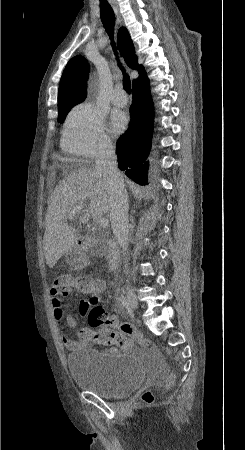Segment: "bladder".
I'll list each match as a JSON object with an SVG mask.
<instances>
[{
  "label": "bladder",
  "mask_w": 245,
  "mask_h": 450,
  "mask_svg": "<svg viewBox=\"0 0 245 450\" xmlns=\"http://www.w3.org/2000/svg\"><path fill=\"white\" fill-rule=\"evenodd\" d=\"M74 384L98 397L123 398L142 387L145 369L134 354H106L88 350L65 358Z\"/></svg>",
  "instance_id": "obj_1"
}]
</instances>
